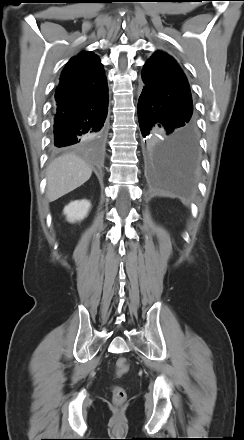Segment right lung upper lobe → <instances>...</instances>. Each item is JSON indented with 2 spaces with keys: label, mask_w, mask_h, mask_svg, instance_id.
<instances>
[{
  "label": "right lung upper lobe",
  "mask_w": 244,
  "mask_h": 440,
  "mask_svg": "<svg viewBox=\"0 0 244 440\" xmlns=\"http://www.w3.org/2000/svg\"><path fill=\"white\" fill-rule=\"evenodd\" d=\"M108 92L103 66L97 55L84 51L71 58L55 92V108L82 106Z\"/></svg>",
  "instance_id": "obj_1"
}]
</instances>
